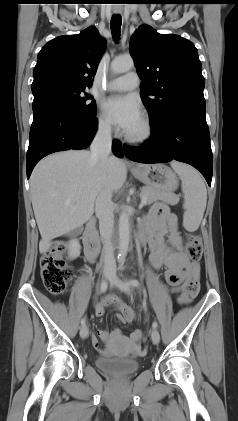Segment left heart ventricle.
Masks as SVG:
<instances>
[{"mask_svg": "<svg viewBox=\"0 0 238 421\" xmlns=\"http://www.w3.org/2000/svg\"><path fill=\"white\" fill-rule=\"evenodd\" d=\"M143 131V126L141 120L130 130L127 131L130 135L137 136L140 135Z\"/></svg>", "mask_w": 238, "mask_h": 421, "instance_id": "obj_1", "label": "left heart ventricle"}]
</instances>
